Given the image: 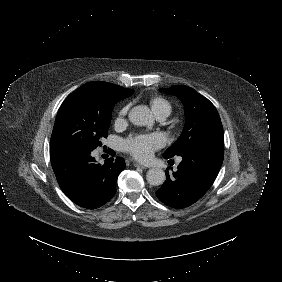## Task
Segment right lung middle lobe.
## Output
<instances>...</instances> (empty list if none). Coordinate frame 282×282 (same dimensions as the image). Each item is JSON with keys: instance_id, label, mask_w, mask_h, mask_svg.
I'll return each instance as SVG.
<instances>
[{"instance_id": "1", "label": "right lung middle lobe", "mask_w": 282, "mask_h": 282, "mask_svg": "<svg viewBox=\"0 0 282 282\" xmlns=\"http://www.w3.org/2000/svg\"><path fill=\"white\" fill-rule=\"evenodd\" d=\"M134 93L107 82L94 81L72 92L55 120L50 156L75 150H94L106 138L114 105Z\"/></svg>"}]
</instances>
